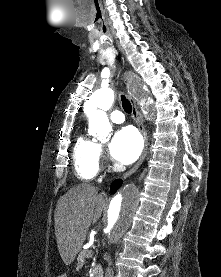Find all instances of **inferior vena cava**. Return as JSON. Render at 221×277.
<instances>
[{"label": "inferior vena cava", "instance_id": "602c4592", "mask_svg": "<svg viewBox=\"0 0 221 277\" xmlns=\"http://www.w3.org/2000/svg\"><path fill=\"white\" fill-rule=\"evenodd\" d=\"M105 277H114L113 269L108 267L105 273Z\"/></svg>", "mask_w": 221, "mask_h": 277}]
</instances>
